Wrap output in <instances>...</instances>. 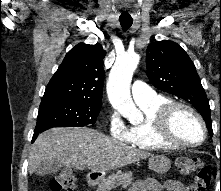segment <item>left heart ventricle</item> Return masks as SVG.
<instances>
[{"instance_id":"obj_1","label":"left heart ventricle","mask_w":221,"mask_h":191,"mask_svg":"<svg viewBox=\"0 0 221 191\" xmlns=\"http://www.w3.org/2000/svg\"><path fill=\"white\" fill-rule=\"evenodd\" d=\"M174 130L178 138L186 142H199L202 131L197 121L187 112H180L174 120Z\"/></svg>"}]
</instances>
